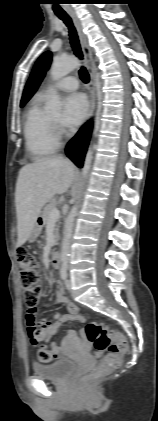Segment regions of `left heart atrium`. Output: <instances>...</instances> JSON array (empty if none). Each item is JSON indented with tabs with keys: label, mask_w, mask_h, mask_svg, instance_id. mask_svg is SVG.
<instances>
[{
	"label": "left heart atrium",
	"mask_w": 158,
	"mask_h": 421,
	"mask_svg": "<svg viewBox=\"0 0 158 421\" xmlns=\"http://www.w3.org/2000/svg\"><path fill=\"white\" fill-rule=\"evenodd\" d=\"M87 109L88 104L84 95L80 93L70 94L64 100L62 124L66 127L79 125L85 117Z\"/></svg>",
	"instance_id": "39dd6f15"
}]
</instances>
